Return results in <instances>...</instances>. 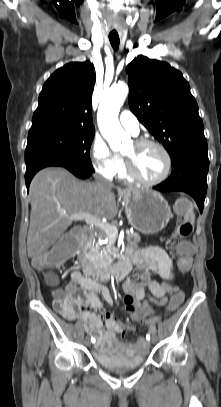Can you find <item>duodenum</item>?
<instances>
[{
    "label": "duodenum",
    "instance_id": "410a0bca",
    "mask_svg": "<svg viewBox=\"0 0 221 407\" xmlns=\"http://www.w3.org/2000/svg\"><path fill=\"white\" fill-rule=\"evenodd\" d=\"M90 232L89 228H84V240ZM80 262L86 274L91 275L97 281H109L127 275L131 270V263L129 257L121 260L116 266H109L106 268H94L92 264L84 257L80 256Z\"/></svg>",
    "mask_w": 221,
    "mask_h": 407
}]
</instances>
